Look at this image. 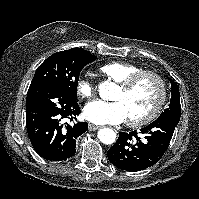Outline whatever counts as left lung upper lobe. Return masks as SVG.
Listing matches in <instances>:
<instances>
[{
  "mask_svg": "<svg viewBox=\"0 0 199 199\" xmlns=\"http://www.w3.org/2000/svg\"><path fill=\"white\" fill-rule=\"evenodd\" d=\"M171 95L172 97L169 107L162 112L159 118H168L179 121L181 115L180 93L179 87L173 80H171Z\"/></svg>",
  "mask_w": 199,
  "mask_h": 199,
  "instance_id": "left-lung-upper-lobe-1",
  "label": "left lung upper lobe"
}]
</instances>
